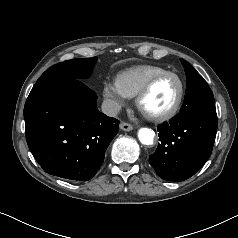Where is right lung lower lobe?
I'll return each instance as SVG.
<instances>
[{
    "mask_svg": "<svg viewBox=\"0 0 238 238\" xmlns=\"http://www.w3.org/2000/svg\"><path fill=\"white\" fill-rule=\"evenodd\" d=\"M96 100L78 79L34 85L24 107L26 140L45 172L78 181L96 174L119 126L98 111Z\"/></svg>",
    "mask_w": 238,
    "mask_h": 238,
    "instance_id": "98d812e1",
    "label": "right lung lower lobe"
}]
</instances>
